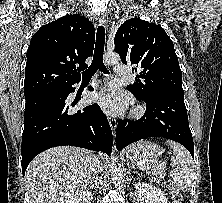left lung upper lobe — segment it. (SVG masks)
Masks as SVG:
<instances>
[{
	"label": "left lung upper lobe",
	"mask_w": 222,
	"mask_h": 203,
	"mask_svg": "<svg viewBox=\"0 0 222 203\" xmlns=\"http://www.w3.org/2000/svg\"><path fill=\"white\" fill-rule=\"evenodd\" d=\"M114 44L122 62L135 65L134 70L140 72L136 82L127 86L136 98L146 100L164 91L184 94L174 45L162 27L128 19L118 28Z\"/></svg>",
	"instance_id": "1"
}]
</instances>
